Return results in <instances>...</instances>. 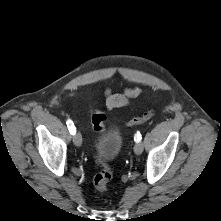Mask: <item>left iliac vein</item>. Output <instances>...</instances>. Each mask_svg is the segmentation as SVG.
I'll return each mask as SVG.
<instances>
[{
    "instance_id": "left-iliac-vein-1",
    "label": "left iliac vein",
    "mask_w": 221,
    "mask_h": 221,
    "mask_svg": "<svg viewBox=\"0 0 221 221\" xmlns=\"http://www.w3.org/2000/svg\"><path fill=\"white\" fill-rule=\"evenodd\" d=\"M134 152L139 155L143 152V144L141 142H137L134 146Z\"/></svg>"
}]
</instances>
